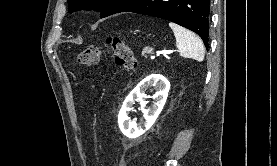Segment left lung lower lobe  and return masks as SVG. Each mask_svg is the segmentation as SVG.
Here are the masks:
<instances>
[{"mask_svg":"<svg viewBox=\"0 0 277 166\" xmlns=\"http://www.w3.org/2000/svg\"><path fill=\"white\" fill-rule=\"evenodd\" d=\"M121 12L165 19L194 31L209 47L210 0H138Z\"/></svg>","mask_w":277,"mask_h":166,"instance_id":"0a47b994","label":"left lung lower lobe"}]
</instances>
